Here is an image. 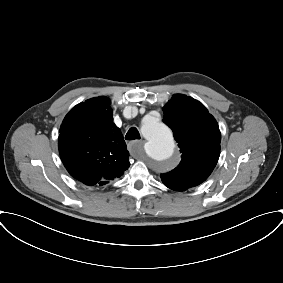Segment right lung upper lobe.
<instances>
[{
  "label": "right lung upper lobe",
  "instance_id": "obj_1",
  "mask_svg": "<svg viewBox=\"0 0 283 283\" xmlns=\"http://www.w3.org/2000/svg\"><path fill=\"white\" fill-rule=\"evenodd\" d=\"M110 101L92 98L76 105L64 118L59 153L68 172L86 185H103L130 166L120 129L113 123Z\"/></svg>",
  "mask_w": 283,
  "mask_h": 283
}]
</instances>
